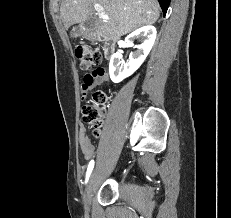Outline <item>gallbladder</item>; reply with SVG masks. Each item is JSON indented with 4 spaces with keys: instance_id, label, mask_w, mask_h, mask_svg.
Segmentation results:
<instances>
[{
    "instance_id": "bac80fb5",
    "label": "gallbladder",
    "mask_w": 231,
    "mask_h": 218,
    "mask_svg": "<svg viewBox=\"0 0 231 218\" xmlns=\"http://www.w3.org/2000/svg\"><path fill=\"white\" fill-rule=\"evenodd\" d=\"M95 25L93 17H89L87 20L82 22L80 25L73 27L71 31V37L76 38L81 36L85 30L92 29Z\"/></svg>"
}]
</instances>
